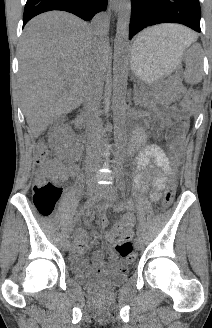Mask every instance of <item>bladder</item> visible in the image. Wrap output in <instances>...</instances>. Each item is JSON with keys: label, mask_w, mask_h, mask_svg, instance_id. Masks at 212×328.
I'll use <instances>...</instances> for the list:
<instances>
[{"label": "bladder", "mask_w": 212, "mask_h": 328, "mask_svg": "<svg viewBox=\"0 0 212 328\" xmlns=\"http://www.w3.org/2000/svg\"><path fill=\"white\" fill-rule=\"evenodd\" d=\"M74 280L82 286L90 288H113L123 284L128 275L125 272H112L105 275H95L88 271L85 257H76L70 263Z\"/></svg>", "instance_id": "obj_1"}]
</instances>
